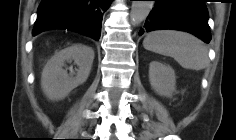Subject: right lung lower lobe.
Listing matches in <instances>:
<instances>
[{
	"label": "right lung lower lobe",
	"instance_id": "right-lung-lower-lobe-1",
	"mask_svg": "<svg viewBox=\"0 0 236 140\" xmlns=\"http://www.w3.org/2000/svg\"><path fill=\"white\" fill-rule=\"evenodd\" d=\"M112 0H42L37 12L33 35L65 28L99 40L102 15Z\"/></svg>",
	"mask_w": 236,
	"mask_h": 140
}]
</instances>
